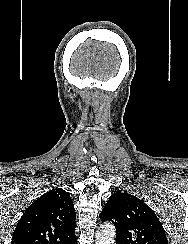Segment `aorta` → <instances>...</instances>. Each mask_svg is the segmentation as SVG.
<instances>
[{
  "label": "aorta",
  "mask_w": 188,
  "mask_h": 244,
  "mask_svg": "<svg viewBox=\"0 0 188 244\" xmlns=\"http://www.w3.org/2000/svg\"><path fill=\"white\" fill-rule=\"evenodd\" d=\"M115 228L111 223L102 224L96 232V244H114Z\"/></svg>",
  "instance_id": "1"
}]
</instances>
